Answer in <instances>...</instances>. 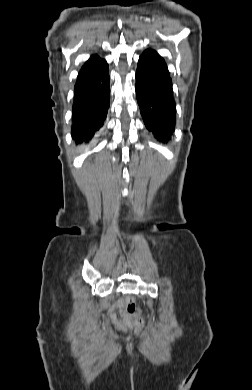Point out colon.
Instances as JSON below:
<instances>
[{
  "instance_id": "colon-1",
  "label": "colon",
  "mask_w": 252,
  "mask_h": 390,
  "mask_svg": "<svg viewBox=\"0 0 252 390\" xmlns=\"http://www.w3.org/2000/svg\"><path fill=\"white\" fill-rule=\"evenodd\" d=\"M125 311L128 319L133 324L137 331L142 330L144 326V319L141 316L139 309L133 298L128 297L125 302Z\"/></svg>"
}]
</instances>
